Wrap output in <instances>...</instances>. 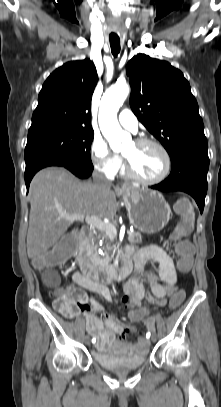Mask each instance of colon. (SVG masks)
Listing matches in <instances>:
<instances>
[{
    "label": "colon",
    "instance_id": "5ec220e1",
    "mask_svg": "<svg viewBox=\"0 0 221 407\" xmlns=\"http://www.w3.org/2000/svg\"><path fill=\"white\" fill-rule=\"evenodd\" d=\"M176 212L181 216L182 220L178 224L176 230L171 236L172 242L175 244L176 253L179 256L178 268L182 273H188L192 266V258L195 249V244L188 237L194 228L195 215L192 204L186 198H181L175 206ZM79 233L77 230H70L68 234H63L62 240H57L56 246H52L51 252H42L41 256L35 259L36 270L40 271L45 266H58L62 268V261H71L72 255H76L77 248L75 243H78ZM54 308L65 315L68 314L74 304L78 301L76 294L67 289H58L53 291ZM188 292L183 287L175 289L170 293V310L177 312L182 304H185ZM126 316L136 322H150L145 319L151 316V307L147 305H132L131 309L126 311Z\"/></svg>",
    "mask_w": 221,
    "mask_h": 407
}]
</instances>
